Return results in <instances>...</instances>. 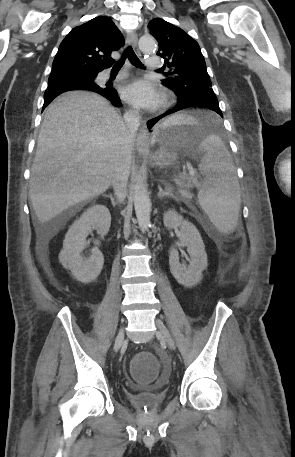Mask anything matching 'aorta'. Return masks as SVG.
Wrapping results in <instances>:
<instances>
[{"label": "aorta", "mask_w": 295, "mask_h": 457, "mask_svg": "<svg viewBox=\"0 0 295 457\" xmlns=\"http://www.w3.org/2000/svg\"><path fill=\"white\" fill-rule=\"evenodd\" d=\"M139 48L142 52H151L155 48V40L150 35H143L139 39ZM134 207L139 228L147 231L150 225L151 201L147 191L145 174L139 170L134 179Z\"/></svg>", "instance_id": "1"}]
</instances>
